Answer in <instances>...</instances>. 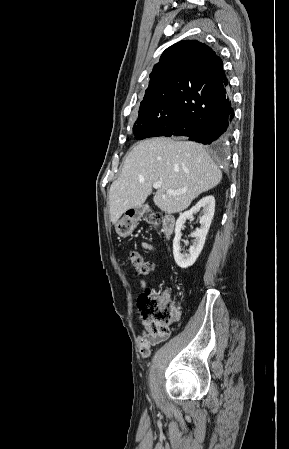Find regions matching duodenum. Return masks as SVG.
I'll use <instances>...</instances> for the list:
<instances>
[{
  "label": "duodenum",
  "instance_id": "duodenum-1",
  "mask_svg": "<svg viewBox=\"0 0 289 449\" xmlns=\"http://www.w3.org/2000/svg\"><path fill=\"white\" fill-rule=\"evenodd\" d=\"M174 227H175L174 217L171 215H166L163 218V222H162V233L166 239L170 238V236L172 235V233L174 231Z\"/></svg>",
  "mask_w": 289,
  "mask_h": 449
}]
</instances>
